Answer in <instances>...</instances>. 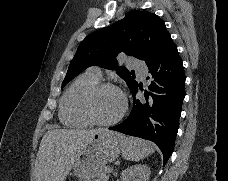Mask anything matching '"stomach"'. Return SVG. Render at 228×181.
I'll return each mask as SVG.
<instances>
[{"mask_svg":"<svg viewBox=\"0 0 228 181\" xmlns=\"http://www.w3.org/2000/svg\"><path fill=\"white\" fill-rule=\"evenodd\" d=\"M123 143L124 135L112 133L108 129L95 133L75 159L72 167L74 177H78V181H102L99 171L105 169L107 163L117 159Z\"/></svg>","mask_w":228,"mask_h":181,"instance_id":"0dacf381","label":"stomach"}]
</instances>
